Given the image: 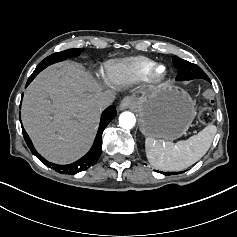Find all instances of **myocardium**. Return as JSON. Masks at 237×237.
Here are the masks:
<instances>
[{
	"mask_svg": "<svg viewBox=\"0 0 237 237\" xmlns=\"http://www.w3.org/2000/svg\"><path fill=\"white\" fill-rule=\"evenodd\" d=\"M168 71L166 66L163 64H154L148 72L151 80L161 82L167 77Z\"/></svg>",
	"mask_w": 237,
	"mask_h": 237,
	"instance_id": "obj_1",
	"label": "myocardium"
}]
</instances>
